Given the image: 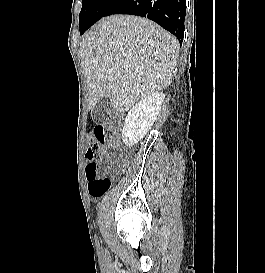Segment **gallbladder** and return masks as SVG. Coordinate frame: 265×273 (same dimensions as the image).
<instances>
[{"label": "gallbladder", "instance_id": "bac80fb5", "mask_svg": "<svg viewBox=\"0 0 265 273\" xmlns=\"http://www.w3.org/2000/svg\"><path fill=\"white\" fill-rule=\"evenodd\" d=\"M92 118L96 123H108L116 118L117 113L107 98L100 99L92 110Z\"/></svg>", "mask_w": 265, "mask_h": 273}]
</instances>
